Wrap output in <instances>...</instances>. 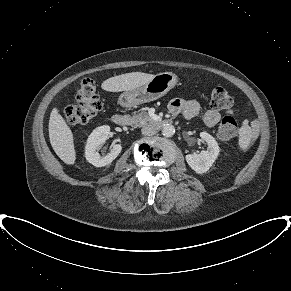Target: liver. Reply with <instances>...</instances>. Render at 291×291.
I'll use <instances>...</instances> for the list:
<instances>
[{"mask_svg":"<svg viewBox=\"0 0 291 291\" xmlns=\"http://www.w3.org/2000/svg\"><path fill=\"white\" fill-rule=\"evenodd\" d=\"M155 75L132 72L114 76L103 81L102 89L109 92L130 91L148 83ZM49 139L57 156L66 164L76 160L73 134L59 110L54 108L49 119Z\"/></svg>","mask_w":291,"mask_h":291,"instance_id":"6515ba94","label":"liver"}]
</instances>
